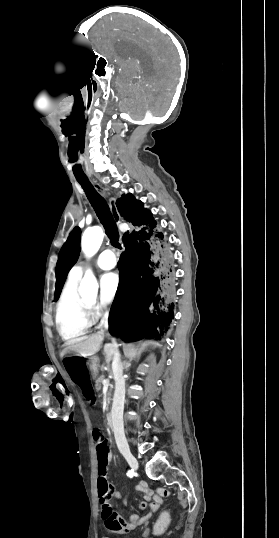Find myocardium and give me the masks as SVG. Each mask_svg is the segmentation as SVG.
I'll list each match as a JSON object with an SVG mask.
<instances>
[{
  "label": "myocardium",
  "mask_w": 279,
  "mask_h": 538,
  "mask_svg": "<svg viewBox=\"0 0 279 538\" xmlns=\"http://www.w3.org/2000/svg\"><path fill=\"white\" fill-rule=\"evenodd\" d=\"M94 304H95L94 300L85 299L82 314L83 315L91 314V312H92V310L94 308Z\"/></svg>",
  "instance_id": "1"
}]
</instances>
